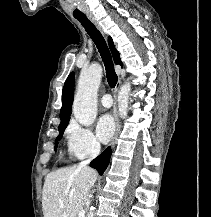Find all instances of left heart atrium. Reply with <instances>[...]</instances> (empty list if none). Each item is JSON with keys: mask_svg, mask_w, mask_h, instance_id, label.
I'll use <instances>...</instances> for the list:
<instances>
[{"mask_svg": "<svg viewBox=\"0 0 211 217\" xmlns=\"http://www.w3.org/2000/svg\"><path fill=\"white\" fill-rule=\"evenodd\" d=\"M114 131H115V124L112 116L109 114L102 115L99 118L96 126V132L98 138L102 142L106 143L112 138Z\"/></svg>", "mask_w": 211, "mask_h": 217, "instance_id": "39dd6f15", "label": "left heart atrium"}]
</instances>
